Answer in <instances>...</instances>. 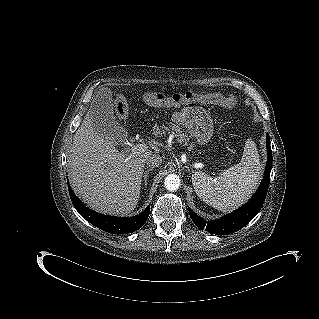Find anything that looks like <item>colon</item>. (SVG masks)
I'll return each instance as SVG.
<instances>
[{"instance_id":"colon-1","label":"colon","mask_w":319,"mask_h":319,"mask_svg":"<svg viewBox=\"0 0 319 319\" xmlns=\"http://www.w3.org/2000/svg\"><path fill=\"white\" fill-rule=\"evenodd\" d=\"M146 103L153 106H173L188 102H208L216 101L224 107H229L232 102L220 97L214 93H197L194 91H187L184 93H175L167 95L162 91H147L143 95ZM116 112L120 116L127 113V102L123 97H119L115 104Z\"/></svg>"}]
</instances>
